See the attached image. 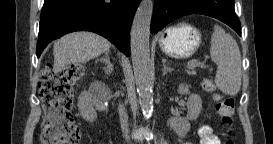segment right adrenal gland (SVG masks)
<instances>
[{"label": "right adrenal gland", "instance_id": "obj_1", "mask_svg": "<svg viewBox=\"0 0 273 144\" xmlns=\"http://www.w3.org/2000/svg\"><path fill=\"white\" fill-rule=\"evenodd\" d=\"M109 53H110V50L105 52L104 57L97 59V62L100 61L102 63H105L104 72L106 75L111 74L113 71V63H111V61H110Z\"/></svg>", "mask_w": 273, "mask_h": 144}]
</instances>
